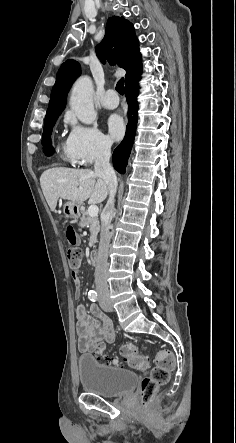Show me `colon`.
Masks as SVG:
<instances>
[{"label": "colon", "instance_id": "colon-1", "mask_svg": "<svg viewBox=\"0 0 236 443\" xmlns=\"http://www.w3.org/2000/svg\"><path fill=\"white\" fill-rule=\"evenodd\" d=\"M67 240L75 244L78 236L73 225L69 224L65 229ZM67 260L72 270L73 279L77 278L76 271L81 264V251L78 248H70L67 251ZM94 357L108 365L119 366L116 357H108L105 354L104 343H97L92 349ZM120 354L127 360V365L138 371H145L149 367V360L139 353L138 348L133 343H125L120 347ZM174 366V357L169 351H162L155 358V365L149 375L141 383L140 394L143 404H147L157 391V389L168 382L170 371Z\"/></svg>", "mask_w": 236, "mask_h": 443}]
</instances>
